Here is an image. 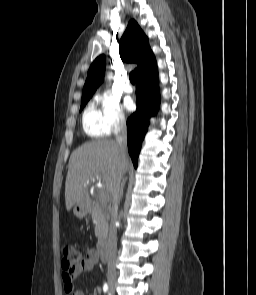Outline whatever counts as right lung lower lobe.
Returning a JSON list of instances; mask_svg holds the SVG:
<instances>
[{
	"instance_id": "1",
	"label": "right lung lower lobe",
	"mask_w": 256,
	"mask_h": 295,
	"mask_svg": "<svg viewBox=\"0 0 256 295\" xmlns=\"http://www.w3.org/2000/svg\"><path fill=\"white\" fill-rule=\"evenodd\" d=\"M137 110L127 120L128 150L134 167H137L141 143L147 132L149 118L159 106L158 71L155 64L136 78Z\"/></svg>"
}]
</instances>
